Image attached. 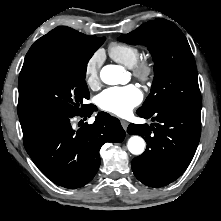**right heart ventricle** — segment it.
Wrapping results in <instances>:
<instances>
[{"instance_id":"e07e8e85","label":"right heart ventricle","mask_w":221,"mask_h":221,"mask_svg":"<svg viewBox=\"0 0 221 221\" xmlns=\"http://www.w3.org/2000/svg\"><path fill=\"white\" fill-rule=\"evenodd\" d=\"M108 53L113 60L128 68H132L140 59V51L136 46L122 42H112Z\"/></svg>"}]
</instances>
